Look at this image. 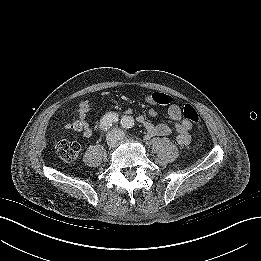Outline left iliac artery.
I'll return each instance as SVG.
<instances>
[{
    "label": "left iliac artery",
    "mask_w": 261,
    "mask_h": 261,
    "mask_svg": "<svg viewBox=\"0 0 261 261\" xmlns=\"http://www.w3.org/2000/svg\"><path fill=\"white\" fill-rule=\"evenodd\" d=\"M121 125L125 129H130L134 125V120L131 117H129V116H124L121 119Z\"/></svg>",
    "instance_id": "1"
}]
</instances>
